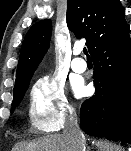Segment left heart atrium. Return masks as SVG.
<instances>
[{
  "mask_svg": "<svg viewBox=\"0 0 131 151\" xmlns=\"http://www.w3.org/2000/svg\"><path fill=\"white\" fill-rule=\"evenodd\" d=\"M74 89H75V92L78 94V95H83V94H85V88L82 86V85H76L75 87H74Z\"/></svg>",
  "mask_w": 131,
  "mask_h": 151,
  "instance_id": "obj_1",
  "label": "left heart atrium"
}]
</instances>
